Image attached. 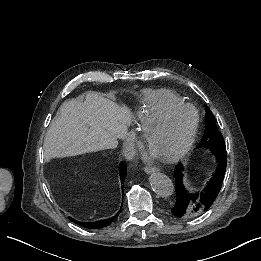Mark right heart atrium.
Instances as JSON below:
<instances>
[{"label": "right heart atrium", "mask_w": 261, "mask_h": 261, "mask_svg": "<svg viewBox=\"0 0 261 261\" xmlns=\"http://www.w3.org/2000/svg\"><path fill=\"white\" fill-rule=\"evenodd\" d=\"M121 109V108H120ZM122 111V110H121ZM128 134H129V143L128 144H131L132 141H133V134H132V131L129 129L128 131Z\"/></svg>", "instance_id": "right-heart-atrium-1"}]
</instances>
